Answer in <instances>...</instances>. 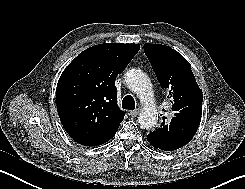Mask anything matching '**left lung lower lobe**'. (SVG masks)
<instances>
[{
	"mask_svg": "<svg viewBox=\"0 0 245 189\" xmlns=\"http://www.w3.org/2000/svg\"><path fill=\"white\" fill-rule=\"evenodd\" d=\"M148 141V140H147ZM154 148H157L156 146H154V144L151 141H148Z\"/></svg>",
	"mask_w": 245,
	"mask_h": 189,
	"instance_id": "left-lung-lower-lobe-1",
	"label": "left lung lower lobe"
}]
</instances>
